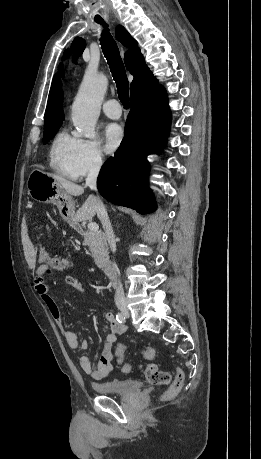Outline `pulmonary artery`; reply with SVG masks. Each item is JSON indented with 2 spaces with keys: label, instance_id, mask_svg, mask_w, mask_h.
<instances>
[{
  "label": "pulmonary artery",
  "instance_id": "obj_1",
  "mask_svg": "<svg viewBox=\"0 0 261 459\" xmlns=\"http://www.w3.org/2000/svg\"><path fill=\"white\" fill-rule=\"evenodd\" d=\"M103 112L111 119H119L122 115V110L119 102L116 99L107 100L102 106Z\"/></svg>",
  "mask_w": 261,
  "mask_h": 459
}]
</instances>
